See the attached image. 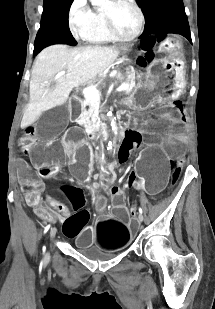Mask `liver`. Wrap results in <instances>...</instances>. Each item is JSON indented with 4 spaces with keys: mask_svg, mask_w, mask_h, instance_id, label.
<instances>
[{
    "mask_svg": "<svg viewBox=\"0 0 215 309\" xmlns=\"http://www.w3.org/2000/svg\"><path fill=\"white\" fill-rule=\"evenodd\" d=\"M120 50L116 46H78L52 44L43 48L36 56L29 84L30 102L21 126H29L31 114H40L58 104H64L75 86L95 80L103 70L116 60ZM66 70L55 88H48L49 80L57 72Z\"/></svg>",
    "mask_w": 215,
    "mask_h": 309,
    "instance_id": "1",
    "label": "liver"
}]
</instances>
